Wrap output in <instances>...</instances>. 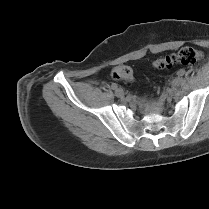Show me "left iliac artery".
Returning <instances> with one entry per match:
<instances>
[{"instance_id":"1","label":"left iliac artery","mask_w":209,"mask_h":209,"mask_svg":"<svg viewBox=\"0 0 209 209\" xmlns=\"http://www.w3.org/2000/svg\"><path fill=\"white\" fill-rule=\"evenodd\" d=\"M177 75H178L179 77H182V76L184 75V72H183L182 70H179V71L177 72Z\"/></svg>"}]
</instances>
